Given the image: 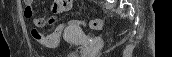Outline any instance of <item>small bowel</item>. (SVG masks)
I'll return each instance as SVG.
<instances>
[{"instance_id":"1","label":"small bowel","mask_w":172,"mask_h":57,"mask_svg":"<svg viewBox=\"0 0 172 57\" xmlns=\"http://www.w3.org/2000/svg\"><path fill=\"white\" fill-rule=\"evenodd\" d=\"M26 4V7H30L32 5V1L31 0H25L24 1ZM71 6V1L68 0H55L51 3V10L54 13H61L64 12L66 10H68ZM32 14L30 16H28L26 13H24V16L26 19H31L34 16L33 10L31 8ZM57 17L56 16H52L48 19H45L43 17H35L34 18V27L32 29V36L42 45H44L47 48H55L57 47L59 41H60V37L62 35L61 32H56L54 31L51 34H47L45 35L43 33V29L48 26V25H52L56 22Z\"/></svg>"}]
</instances>
